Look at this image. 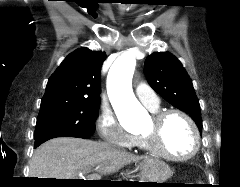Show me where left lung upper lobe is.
<instances>
[{"instance_id":"obj_1","label":"left lung upper lobe","mask_w":240,"mask_h":187,"mask_svg":"<svg viewBox=\"0 0 240 187\" xmlns=\"http://www.w3.org/2000/svg\"><path fill=\"white\" fill-rule=\"evenodd\" d=\"M144 72L154 91L189 114L201 132L203 125L199 100L181 62L169 52H155L147 57Z\"/></svg>"}]
</instances>
